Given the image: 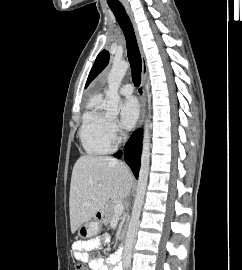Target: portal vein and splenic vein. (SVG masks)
Listing matches in <instances>:
<instances>
[{"label":"portal vein and splenic vein","instance_id":"portal-vein-and-splenic-vein-1","mask_svg":"<svg viewBox=\"0 0 242 270\" xmlns=\"http://www.w3.org/2000/svg\"><path fill=\"white\" fill-rule=\"evenodd\" d=\"M123 210H124V205L121 202H116L114 206L115 214H122Z\"/></svg>","mask_w":242,"mask_h":270}]
</instances>
